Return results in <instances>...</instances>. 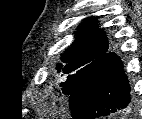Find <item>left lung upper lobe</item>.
Returning <instances> with one entry per match:
<instances>
[{"label": "left lung upper lobe", "mask_w": 142, "mask_h": 119, "mask_svg": "<svg viewBox=\"0 0 142 119\" xmlns=\"http://www.w3.org/2000/svg\"><path fill=\"white\" fill-rule=\"evenodd\" d=\"M93 19L82 23L74 43L61 56L64 66L57 64L58 73H64L62 90L70 95L82 78L108 54V42L101 29H95Z\"/></svg>", "instance_id": "left-lung-upper-lobe-1"}]
</instances>
